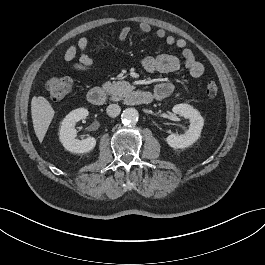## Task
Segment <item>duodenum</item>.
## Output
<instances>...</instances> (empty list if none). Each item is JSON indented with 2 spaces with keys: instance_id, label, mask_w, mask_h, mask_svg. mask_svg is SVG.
<instances>
[{
  "instance_id": "410a0bca",
  "label": "duodenum",
  "mask_w": 265,
  "mask_h": 265,
  "mask_svg": "<svg viewBox=\"0 0 265 265\" xmlns=\"http://www.w3.org/2000/svg\"><path fill=\"white\" fill-rule=\"evenodd\" d=\"M106 93L99 87L91 88L87 93V100L94 106H101L106 102ZM154 100V95L150 92L138 89L128 91L125 102L129 105H148Z\"/></svg>"
}]
</instances>
